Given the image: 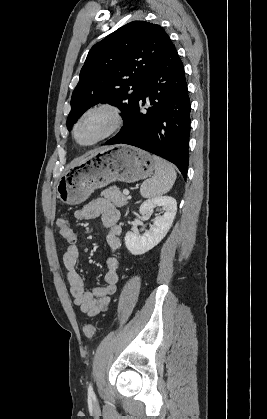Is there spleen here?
<instances>
[{
	"label": "spleen",
	"instance_id": "3e777b00",
	"mask_svg": "<svg viewBox=\"0 0 267 419\" xmlns=\"http://www.w3.org/2000/svg\"><path fill=\"white\" fill-rule=\"evenodd\" d=\"M155 173L151 179L144 181L140 193L144 198H153L166 194L173 186L177 174L169 162L158 156H153Z\"/></svg>",
	"mask_w": 267,
	"mask_h": 419
}]
</instances>
